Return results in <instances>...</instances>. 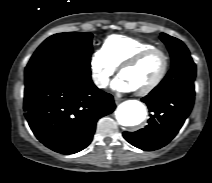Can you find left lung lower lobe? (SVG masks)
Wrapping results in <instances>:
<instances>
[{"mask_svg": "<svg viewBox=\"0 0 212 183\" xmlns=\"http://www.w3.org/2000/svg\"><path fill=\"white\" fill-rule=\"evenodd\" d=\"M196 65L190 56L177 61L146 97L151 112L148 125L136 132H124L133 146L151 151L168 144L178 133L194 104Z\"/></svg>", "mask_w": 212, "mask_h": 183, "instance_id": "0a47b994", "label": "left lung lower lobe"}]
</instances>
